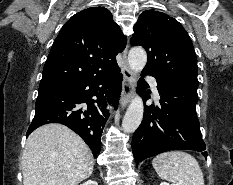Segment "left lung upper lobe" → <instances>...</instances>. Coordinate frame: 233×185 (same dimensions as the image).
<instances>
[{"instance_id": "1", "label": "left lung upper lobe", "mask_w": 233, "mask_h": 185, "mask_svg": "<svg viewBox=\"0 0 233 185\" xmlns=\"http://www.w3.org/2000/svg\"><path fill=\"white\" fill-rule=\"evenodd\" d=\"M133 46L147 51L143 71L157 79L197 80V58L188 33L174 18L158 11L146 10L134 26Z\"/></svg>"}]
</instances>
